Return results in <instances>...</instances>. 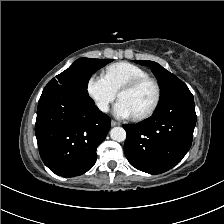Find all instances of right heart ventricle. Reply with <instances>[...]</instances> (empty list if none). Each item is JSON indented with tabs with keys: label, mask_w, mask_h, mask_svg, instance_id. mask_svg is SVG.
<instances>
[{
	"label": "right heart ventricle",
	"mask_w": 224,
	"mask_h": 224,
	"mask_svg": "<svg viewBox=\"0 0 224 224\" xmlns=\"http://www.w3.org/2000/svg\"><path fill=\"white\" fill-rule=\"evenodd\" d=\"M144 76H148V73L143 68L129 62L114 63L103 72V77L115 92L125 83Z\"/></svg>",
	"instance_id": "1"
}]
</instances>
